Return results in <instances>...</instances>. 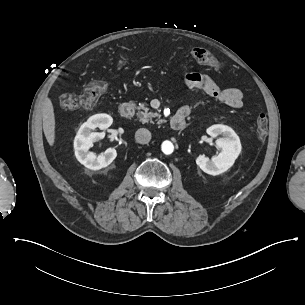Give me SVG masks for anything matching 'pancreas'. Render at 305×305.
Segmentation results:
<instances>
[{"label": "pancreas", "mask_w": 305, "mask_h": 305, "mask_svg": "<svg viewBox=\"0 0 305 305\" xmlns=\"http://www.w3.org/2000/svg\"><path fill=\"white\" fill-rule=\"evenodd\" d=\"M137 109H138L137 117L142 123L151 122L152 124H154L152 119L156 117L160 118V114L156 112H149V108L147 107V104L141 103L139 104ZM161 122H162L161 120H158V124Z\"/></svg>", "instance_id": "1"}]
</instances>
